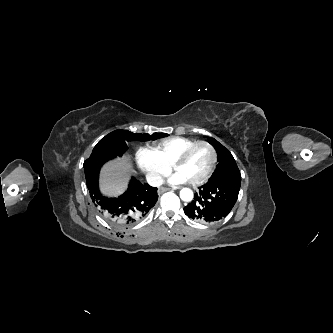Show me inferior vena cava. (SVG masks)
<instances>
[{
	"label": "inferior vena cava",
	"mask_w": 333,
	"mask_h": 333,
	"mask_svg": "<svg viewBox=\"0 0 333 333\" xmlns=\"http://www.w3.org/2000/svg\"><path fill=\"white\" fill-rule=\"evenodd\" d=\"M147 182L153 187H160L163 184V178L156 173H150L146 176Z\"/></svg>",
	"instance_id": "1"
}]
</instances>
